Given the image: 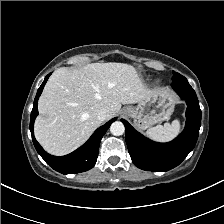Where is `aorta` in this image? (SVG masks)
<instances>
[{
	"label": "aorta",
	"instance_id": "obj_1",
	"mask_svg": "<svg viewBox=\"0 0 224 224\" xmlns=\"http://www.w3.org/2000/svg\"><path fill=\"white\" fill-rule=\"evenodd\" d=\"M110 132L114 136L123 135V133L125 132L124 124L120 121L113 122L110 126Z\"/></svg>",
	"mask_w": 224,
	"mask_h": 224
}]
</instances>
